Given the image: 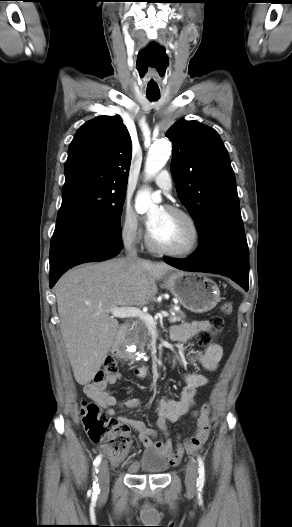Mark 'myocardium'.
<instances>
[{"label":"myocardium","mask_w":292,"mask_h":527,"mask_svg":"<svg viewBox=\"0 0 292 527\" xmlns=\"http://www.w3.org/2000/svg\"><path fill=\"white\" fill-rule=\"evenodd\" d=\"M164 210L181 216L188 222L192 231L191 240L184 248L171 249L157 244L151 237L150 231L148 230L145 236L147 246L154 252L172 257H188L192 255L198 249L201 242V230L197 220L191 213L180 207L168 205L164 207Z\"/></svg>","instance_id":"1"}]
</instances>
